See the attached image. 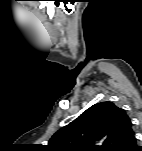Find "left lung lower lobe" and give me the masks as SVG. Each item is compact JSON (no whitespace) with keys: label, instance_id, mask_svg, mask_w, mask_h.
<instances>
[{"label":"left lung lower lobe","instance_id":"0a47b994","mask_svg":"<svg viewBox=\"0 0 142 151\" xmlns=\"http://www.w3.org/2000/svg\"><path fill=\"white\" fill-rule=\"evenodd\" d=\"M121 151H142L136 144L135 134L126 142L125 146Z\"/></svg>","mask_w":142,"mask_h":151}]
</instances>
